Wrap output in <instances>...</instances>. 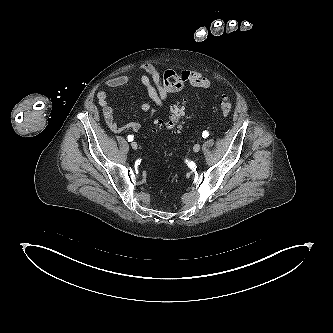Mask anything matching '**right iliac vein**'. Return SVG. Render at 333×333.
<instances>
[{"label": "right iliac vein", "mask_w": 333, "mask_h": 333, "mask_svg": "<svg viewBox=\"0 0 333 333\" xmlns=\"http://www.w3.org/2000/svg\"><path fill=\"white\" fill-rule=\"evenodd\" d=\"M131 147L136 150L138 148V145L136 142L133 141L131 142Z\"/></svg>", "instance_id": "obj_1"}]
</instances>
